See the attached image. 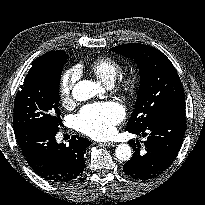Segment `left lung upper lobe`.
<instances>
[{
    "mask_svg": "<svg viewBox=\"0 0 205 205\" xmlns=\"http://www.w3.org/2000/svg\"><path fill=\"white\" fill-rule=\"evenodd\" d=\"M110 50L134 59L140 71L137 102L126 131L142 129L166 112L185 108L179 75L161 51L140 43L124 44Z\"/></svg>",
    "mask_w": 205,
    "mask_h": 205,
    "instance_id": "1",
    "label": "left lung upper lobe"
}]
</instances>
